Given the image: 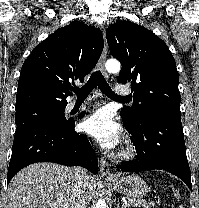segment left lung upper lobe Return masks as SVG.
<instances>
[{
    "label": "left lung upper lobe",
    "mask_w": 199,
    "mask_h": 208,
    "mask_svg": "<svg viewBox=\"0 0 199 208\" xmlns=\"http://www.w3.org/2000/svg\"><path fill=\"white\" fill-rule=\"evenodd\" d=\"M106 38L110 53L122 64L117 82H131L134 104L121 110L123 121L135 130L152 115H181L179 75L164 41L127 21L112 24Z\"/></svg>",
    "instance_id": "left-lung-upper-lobe-1"
}]
</instances>
